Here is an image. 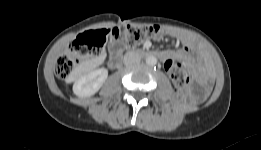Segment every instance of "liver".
Returning <instances> with one entry per match:
<instances>
[{
    "label": "liver",
    "instance_id": "1",
    "mask_svg": "<svg viewBox=\"0 0 261 150\" xmlns=\"http://www.w3.org/2000/svg\"><path fill=\"white\" fill-rule=\"evenodd\" d=\"M103 62V57L85 61L80 65V73H86Z\"/></svg>",
    "mask_w": 261,
    "mask_h": 150
}]
</instances>
